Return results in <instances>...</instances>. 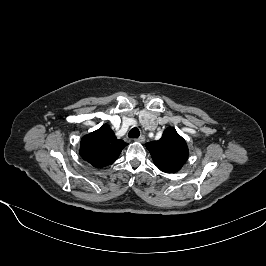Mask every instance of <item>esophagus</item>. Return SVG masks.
<instances>
[{"mask_svg":"<svg viewBox=\"0 0 266 266\" xmlns=\"http://www.w3.org/2000/svg\"><path fill=\"white\" fill-rule=\"evenodd\" d=\"M136 141L143 143L145 141V136L141 135L139 138L136 139Z\"/></svg>","mask_w":266,"mask_h":266,"instance_id":"1","label":"esophagus"}]
</instances>
